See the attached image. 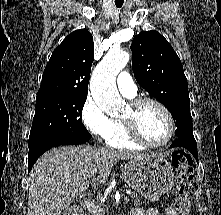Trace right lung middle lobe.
I'll list each match as a JSON object with an SVG mask.
<instances>
[{
	"instance_id": "1",
	"label": "right lung middle lobe",
	"mask_w": 221,
	"mask_h": 215,
	"mask_svg": "<svg viewBox=\"0 0 221 215\" xmlns=\"http://www.w3.org/2000/svg\"><path fill=\"white\" fill-rule=\"evenodd\" d=\"M86 98L87 96H59L36 102L29 148L50 140L88 134L82 123V109Z\"/></svg>"
}]
</instances>
